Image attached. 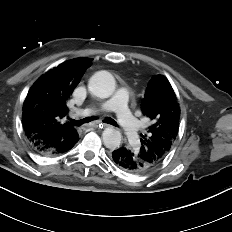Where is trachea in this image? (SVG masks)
I'll return each instance as SVG.
<instances>
[{
    "label": "trachea",
    "instance_id": "obj_1",
    "mask_svg": "<svg viewBox=\"0 0 232 232\" xmlns=\"http://www.w3.org/2000/svg\"><path fill=\"white\" fill-rule=\"evenodd\" d=\"M96 119V117H86V118H84V119H81V120H78V121H76V120H70V122L73 124V125H75V126H81L82 124H84V123H88V122H91V121H93V120H95ZM103 122L104 123H107V124H110V125H113V126H117V123H116V121L114 120V119H112V118H105L104 120H103Z\"/></svg>",
    "mask_w": 232,
    "mask_h": 232
}]
</instances>
